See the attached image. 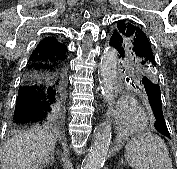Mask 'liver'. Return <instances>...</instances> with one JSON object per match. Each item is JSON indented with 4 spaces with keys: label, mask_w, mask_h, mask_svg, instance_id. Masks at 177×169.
<instances>
[{
    "label": "liver",
    "mask_w": 177,
    "mask_h": 169,
    "mask_svg": "<svg viewBox=\"0 0 177 169\" xmlns=\"http://www.w3.org/2000/svg\"><path fill=\"white\" fill-rule=\"evenodd\" d=\"M55 143L49 127L20 132L5 143L1 169H41L52 160Z\"/></svg>",
    "instance_id": "liver-1"
}]
</instances>
